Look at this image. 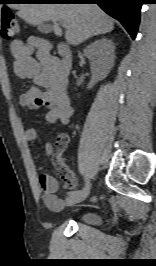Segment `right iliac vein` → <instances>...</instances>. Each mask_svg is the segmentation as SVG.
Returning <instances> with one entry per match:
<instances>
[{
    "label": "right iliac vein",
    "instance_id": "obj_1",
    "mask_svg": "<svg viewBox=\"0 0 156 266\" xmlns=\"http://www.w3.org/2000/svg\"><path fill=\"white\" fill-rule=\"evenodd\" d=\"M90 188H91V185H89V188L86 189V191H83V192H81L78 195H71V196L67 197L66 198V204L68 206H72V205H75V204H77L79 202H82L89 195Z\"/></svg>",
    "mask_w": 156,
    "mask_h": 266
}]
</instances>
